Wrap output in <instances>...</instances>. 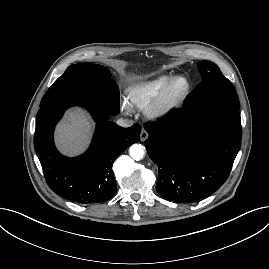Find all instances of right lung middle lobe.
Here are the masks:
<instances>
[{"mask_svg":"<svg viewBox=\"0 0 269 269\" xmlns=\"http://www.w3.org/2000/svg\"><path fill=\"white\" fill-rule=\"evenodd\" d=\"M110 75L101 65L73 64L48 89L40 107L53 101L75 100L115 115L119 112V89Z\"/></svg>","mask_w":269,"mask_h":269,"instance_id":"dd1d6c3e","label":"right lung middle lobe"}]
</instances>
